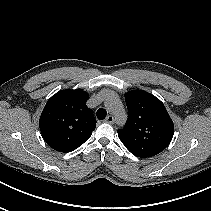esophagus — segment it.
I'll return each instance as SVG.
<instances>
[{"label":"esophagus","instance_id":"obj_1","mask_svg":"<svg viewBox=\"0 0 211 211\" xmlns=\"http://www.w3.org/2000/svg\"><path fill=\"white\" fill-rule=\"evenodd\" d=\"M106 122L113 124L114 123V117L112 115H108L105 119Z\"/></svg>","mask_w":211,"mask_h":211}]
</instances>
